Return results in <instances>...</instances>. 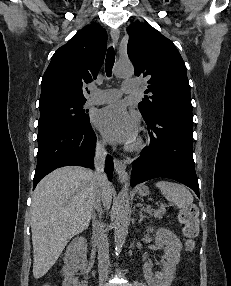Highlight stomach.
Here are the masks:
<instances>
[{
    "mask_svg": "<svg viewBox=\"0 0 231 286\" xmlns=\"http://www.w3.org/2000/svg\"><path fill=\"white\" fill-rule=\"evenodd\" d=\"M149 193H150V191H149L148 187H146V186H142V187L138 188V194L141 197L147 196V195H149Z\"/></svg>",
    "mask_w": 231,
    "mask_h": 286,
    "instance_id": "0dacf381",
    "label": "stomach"
}]
</instances>
